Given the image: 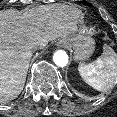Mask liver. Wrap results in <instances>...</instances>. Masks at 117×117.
Returning <instances> with one entry per match:
<instances>
[{
	"mask_svg": "<svg viewBox=\"0 0 117 117\" xmlns=\"http://www.w3.org/2000/svg\"><path fill=\"white\" fill-rule=\"evenodd\" d=\"M81 19L76 6L60 3L23 13L0 11V103L18 97L23 90L33 52L57 38L75 35Z\"/></svg>",
	"mask_w": 117,
	"mask_h": 117,
	"instance_id": "6515ba94",
	"label": "liver"
}]
</instances>
